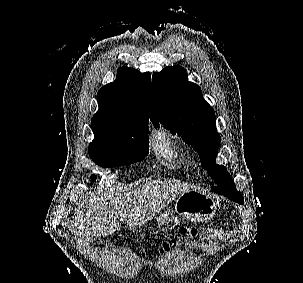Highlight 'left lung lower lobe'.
<instances>
[{
	"mask_svg": "<svg viewBox=\"0 0 303 283\" xmlns=\"http://www.w3.org/2000/svg\"><path fill=\"white\" fill-rule=\"evenodd\" d=\"M224 196H226L227 198L237 202V203H240V204H243V198H242V195L240 194H236V193H224L222 194Z\"/></svg>",
	"mask_w": 303,
	"mask_h": 283,
	"instance_id": "left-lung-lower-lobe-1",
	"label": "left lung lower lobe"
}]
</instances>
